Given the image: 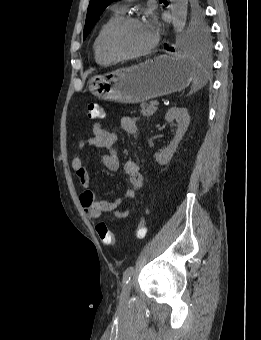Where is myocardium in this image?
Returning <instances> with one entry per match:
<instances>
[{
  "instance_id": "1",
  "label": "myocardium",
  "mask_w": 261,
  "mask_h": 340,
  "mask_svg": "<svg viewBox=\"0 0 261 340\" xmlns=\"http://www.w3.org/2000/svg\"><path fill=\"white\" fill-rule=\"evenodd\" d=\"M132 23H141L140 19L134 16H125L120 18L118 21H116L105 33L104 38H103V49L105 53L115 59L116 61H123V60H130V59H135L141 56H144L148 53H150L157 45L158 43V35L153 33V39L151 43L144 48L141 51L131 53V54H125L121 53L117 50L114 49L113 47V40L116 34L122 30L124 27H126L129 24Z\"/></svg>"
}]
</instances>
